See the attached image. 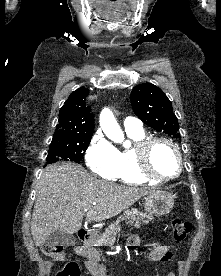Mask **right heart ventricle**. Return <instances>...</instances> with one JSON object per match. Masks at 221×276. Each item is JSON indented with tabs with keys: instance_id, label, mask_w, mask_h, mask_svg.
<instances>
[{
	"instance_id": "obj_1",
	"label": "right heart ventricle",
	"mask_w": 221,
	"mask_h": 276,
	"mask_svg": "<svg viewBox=\"0 0 221 276\" xmlns=\"http://www.w3.org/2000/svg\"><path fill=\"white\" fill-rule=\"evenodd\" d=\"M127 135L134 142V146L128 149H124L122 151H118V169L115 176V179L120 180L123 183L127 184H144L151 182V180L145 178L139 171L136 154H135V146L136 144L147 137L145 131H126Z\"/></svg>"
}]
</instances>
